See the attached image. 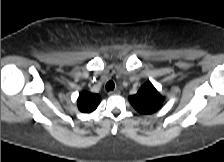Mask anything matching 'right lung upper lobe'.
<instances>
[{
	"mask_svg": "<svg viewBox=\"0 0 224 162\" xmlns=\"http://www.w3.org/2000/svg\"><path fill=\"white\" fill-rule=\"evenodd\" d=\"M101 98L98 94L83 91L78 98V108L83 113L94 111L99 105Z\"/></svg>",
	"mask_w": 224,
	"mask_h": 162,
	"instance_id": "obj_1",
	"label": "right lung upper lobe"
}]
</instances>
